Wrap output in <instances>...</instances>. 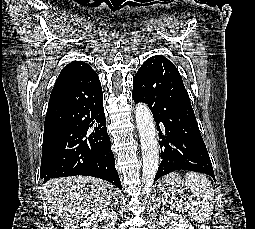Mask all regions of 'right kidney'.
Instances as JSON below:
<instances>
[{
  "mask_svg": "<svg viewBox=\"0 0 255 229\" xmlns=\"http://www.w3.org/2000/svg\"><path fill=\"white\" fill-rule=\"evenodd\" d=\"M102 221L106 223L102 229H114L117 221V213L110 208L98 210L83 220L80 224V229H98V224Z\"/></svg>",
  "mask_w": 255,
  "mask_h": 229,
  "instance_id": "1",
  "label": "right kidney"
}]
</instances>
